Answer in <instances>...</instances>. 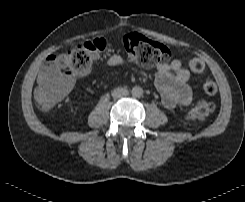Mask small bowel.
<instances>
[{
    "label": "small bowel",
    "instance_id": "c3829d8e",
    "mask_svg": "<svg viewBox=\"0 0 245 202\" xmlns=\"http://www.w3.org/2000/svg\"><path fill=\"white\" fill-rule=\"evenodd\" d=\"M123 58L119 54H112L108 57L109 66L116 67L121 65ZM48 75H39L37 78V93L43 86V82ZM190 79L189 71L183 67L179 59H173L168 63L158 66L155 76V86L160 94L161 103L167 109H173L177 106H186L192 100V91L188 84ZM70 89L74 87V80L69 79ZM67 93V94H68Z\"/></svg>",
    "mask_w": 245,
    "mask_h": 202
}]
</instances>
